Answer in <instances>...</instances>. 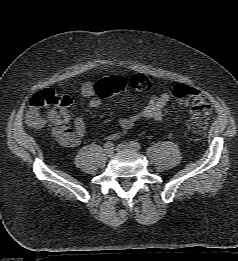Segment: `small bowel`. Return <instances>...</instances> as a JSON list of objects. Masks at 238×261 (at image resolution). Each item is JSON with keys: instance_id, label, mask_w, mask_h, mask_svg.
Wrapping results in <instances>:
<instances>
[{"instance_id": "1", "label": "small bowel", "mask_w": 238, "mask_h": 261, "mask_svg": "<svg viewBox=\"0 0 238 261\" xmlns=\"http://www.w3.org/2000/svg\"><path fill=\"white\" fill-rule=\"evenodd\" d=\"M83 97L89 99V106L93 109L99 108L102 98L96 92V84L85 82L81 87ZM170 101L168 93L153 95L148 104L140 111L121 118L118 121L119 131L112 135L116 138L126 134L134 124L142 119L160 121L167 113V105ZM53 125V135L65 147H76L86 133V124L82 118H72L67 111L52 110L48 116Z\"/></svg>"}]
</instances>
